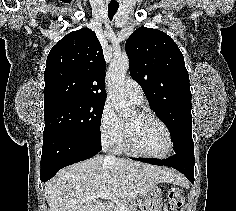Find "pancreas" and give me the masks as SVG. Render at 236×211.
Segmentation results:
<instances>
[{
  "label": "pancreas",
  "instance_id": "pancreas-1",
  "mask_svg": "<svg viewBox=\"0 0 236 211\" xmlns=\"http://www.w3.org/2000/svg\"><path fill=\"white\" fill-rule=\"evenodd\" d=\"M124 206V211H137L136 204L130 199H123L120 204L115 207L114 211H121V206Z\"/></svg>",
  "mask_w": 236,
  "mask_h": 211
}]
</instances>
